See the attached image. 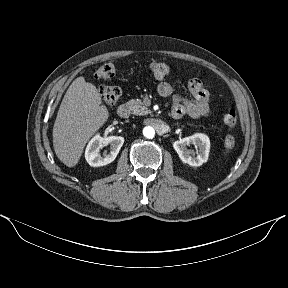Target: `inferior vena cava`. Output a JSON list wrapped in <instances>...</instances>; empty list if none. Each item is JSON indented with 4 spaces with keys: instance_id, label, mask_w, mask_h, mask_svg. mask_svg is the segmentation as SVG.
<instances>
[{
    "instance_id": "obj_1",
    "label": "inferior vena cava",
    "mask_w": 288,
    "mask_h": 288,
    "mask_svg": "<svg viewBox=\"0 0 288 288\" xmlns=\"http://www.w3.org/2000/svg\"><path fill=\"white\" fill-rule=\"evenodd\" d=\"M147 125L157 130L156 134L159 137L167 136L170 133L169 125L163 119L149 118Z\"/></svg>"
}]
</instances>
